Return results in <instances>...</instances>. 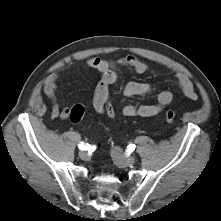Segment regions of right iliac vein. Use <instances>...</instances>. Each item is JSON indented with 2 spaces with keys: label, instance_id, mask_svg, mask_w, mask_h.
I'll list each match as a JSON object with an SVG mask.
<instances>
[{
  "label": "right iliac vein",
  "instance_id": "63e3f726",
  "mask_svg": "<svg viewBox=\"0 0 221 221\" xmlns=\"http://www.w3.org/2000/svg\"><path fill=\"white\" fill-rule=\"evenodd\" d=\"M79 156L82 160H88L89 159V154L86 151H80Z\"/></svg>",
  "mask_w": 221,
  "mask_h": 221
}]
</instances>
